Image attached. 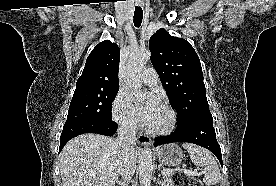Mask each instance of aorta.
<instances>
[{
    "label": "aorta",
    "instance_id": "aorta-1",
    "mask_svg": "<svg viewBox=\"0 0 276 186\" xmlns=\"http://www.w3.org/2000/svg\"><path fill=\"white\" fill-rule=\"evenodd\" d=\"M148 50H141L130 55L126 65V86L137 97L141 95L140 73L145 64L150 60ZM153 172L152 153L144 148L139 158V181L140 186H150Z\"/></svg>",
    "mask_w": 276,
    "mask_h": 186
}]
</instances>
